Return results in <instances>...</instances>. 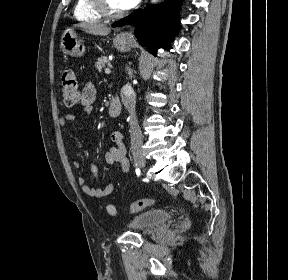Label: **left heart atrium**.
<instances>
[{
  "instance_id": "39dd6f15",
  "label": "left heart atrium",
  "mask_w": 288,
  "mask_h": 280,
  "mask_svg": "<svg viewBox=\"0 0 288 280\" xmlns=\"http://www.w3.org/2000/svg\"><path fill=\"white\" fill-rule=\"evenodd\" d=\"M121 10H127L134 7L139 0H117Z\"/></svg>"
}]
</instances>
